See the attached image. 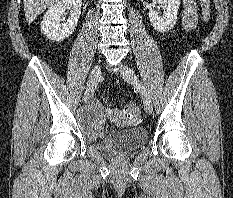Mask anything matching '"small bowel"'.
<instances>
[{"label": "small bowel", "mask_w": 233, "mask_h": 198, "mask_svg": "<svg viewBox=\"0 0 233 198\" xmlns=\"http://www.w3.org/2000/svg\"><path fill=\"white\" fill-rule=\"evenodd\" d=\"M182 25L186 31L192 30L197 23L195 0H183Z\"/></svg>", "instance_id": "1"}]
</instances>
